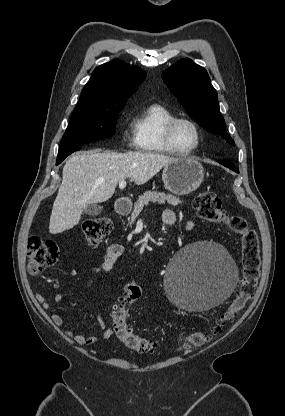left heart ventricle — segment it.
<instances>
[{
	"mask_svg": "<svg viewBox=\"0 0 285 416\" xmlns=\"http://www.w3.org/2000/svg\"><path fill=\"white\" fill-rule=\"evenodd\" d=\"M173 139L176 147L181 150H189L197 142L193 127L186 122H180L176 125L173 132Z\"/></svg>",
	"mask_w": 285,
	"mask_h": 416,
	"instance_id": "b2bd125f",
	"label": "left heart ventricle"
}]
</instances>
